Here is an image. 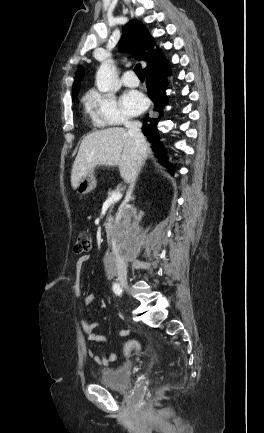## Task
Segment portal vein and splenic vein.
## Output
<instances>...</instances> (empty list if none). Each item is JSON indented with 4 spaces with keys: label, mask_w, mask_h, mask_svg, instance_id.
Segmentation results:
<instances>
[{
    "label": "portal vein and splenic vein",
    "mask_w": 264,
    "mask_h": 433,
    "mask_svg": "<svg viewBox=\"0 0 264 433\" xmlns=\"http://www.w3.org/2000/svg\"><path fill=\"white\" fill-rule=\"evenodd\" d=\"M121 198L122 194L120 192H115L108 198V201L115 202L119 201Z\"/></svg>",
    "instance_id": "18ae733b"
}]
</instances>
